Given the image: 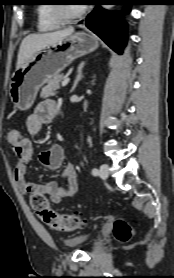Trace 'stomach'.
I'll return each mask as SVG.
<instances>
[{
    "label": "stomach",
    "instance_id": "0dacf381",
    "mask_svg": "<svg viewBox=\"0 0 174 278\" xmlns=\"http://www.w3.org/2000/svg\"><path fill=\"white\" fill-rule=\"evenodd\" d=\"M99 46L98 40L85 32L63 38L37 51L12 75L9 96L15 108L29 109L39 89L58 75L75 59L89 54Z\"/></svg>",
    "mask_w": 174,
    "mask_h": 278
}]
</instances>
